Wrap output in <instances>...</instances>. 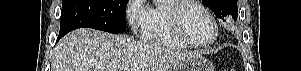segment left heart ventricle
<instances>
[{"instance_id": "obj_1", "label": "left heart ventricle", "mask_w": 301, "mask_h": 71, "mask_svg": "<svg viewBox=\"0 0 301 71\" xmlns=\"http://www.w3.org/2000/svg\"><path fill=\"white\" fill-rule=\"evenodd\" d=\"M184 26L188 37L196 43H207L213 36V25L207 15L192 6L184 12Z\"/></svg>"}]
</instances>
